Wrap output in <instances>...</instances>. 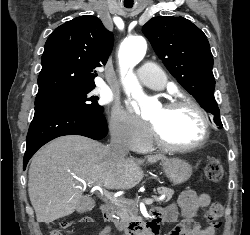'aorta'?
Wrapping results in <instances>:
<instances>
[{"mask_svg":"<svg viewBox=\"0 0 250 235\" xmlns=\"http://www.w3.org/2000/svg\"><path fill=\"white\" fill-rule=\"evenodd\" d=\"M147 50L146 41L142 38L137 40H129L122 44L120 49L121 58L125 66L135 65L145 56ZM127 86L130 91H134L136 98L143 104L145 113L151 112V101L148 99L141 90L136 78L132 74H128Z\"/></svg>","mask_w":250,"mask_h":235,"instance_id":"1","label":"aorta"}]
</instances>
